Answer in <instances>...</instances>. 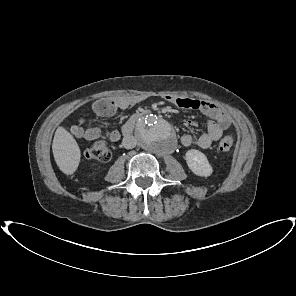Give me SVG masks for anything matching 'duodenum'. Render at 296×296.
I'll return each mask as SVG.
<instances>
[{
	"instance_id": "1",
	"label": "duodenum",
	"mask_w": 296,
	"mask_h": 296,
	"mask_svg": "<svg viewBox=\"0 0 296 296\" xmlns=\"http://www.w3.org/2000/svg\"><path fill=\"white\" fill-rule=\"evenodd\" d=\"M150 111L149 110H140L138 112H136L135 114H133L128 120L127 122L123 125L122 127V134L124 136H128L129 134L132 133V131L135 128L136 122L138 121L139 118L149 114Z\"/></svg>"
}]
</instances>
